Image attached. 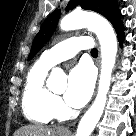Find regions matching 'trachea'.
<instances>
[{
  "instance_id": "1",
  "label": "trachea",
  "mask_w": 136,
  "mask_h": 136,
  "mask_svg": "<svg viewBox=\"0 0 136 136\" xmlns=\"http://www.w3.org/2000/svg\"><path fill=\"white\" fill-rule=\"evenodd\" d=\"M91 54H92L93 56H97V55H98V50H97L96 48H93V49L91 50Z\"/></svg>"
}]
</instances>
